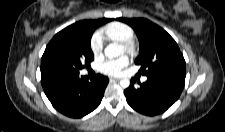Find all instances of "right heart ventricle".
Wrapping results in <instances>:
<instances>
[{
    "mask_svg": "<svg viewBox=\"0 0 225 132\" xmlns=\"http://www.w3.org/2000/svg\"><path fill=\"white\" fill-rule=\"evenodd\" d=\"M102 32L107 40L115 42L133 40L135 35L133 28L122 22H111L102 29Z\"/></svg>",
    "mask_w": 225,
    "mask_h": 132,
    "instance_id": "obj_1",
    "label": "right heart ventricle"
}]
</instances>
